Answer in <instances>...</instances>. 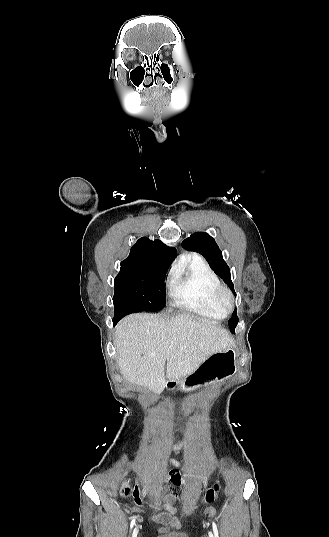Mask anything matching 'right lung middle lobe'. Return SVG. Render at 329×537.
Segmentation results:
<instances>
[{
    "mask_svg": "<svg viewBox=\"0 0 329 537\" xmlns=\"http://www.w3.org/2000/svg\"><path fill=\"white\" fill-rule=\"evenodd\" d=\"M167 266L151 265L122 270L114 280L115 317H122L140 309L160 310L165 306V276Z\"/></svg>",
    "mask_w": 329,
    "mask_h": 537,
    "instance_id": "dd1d6c3e",
    "label": "right lung middle lobe"
}]
</instances>
